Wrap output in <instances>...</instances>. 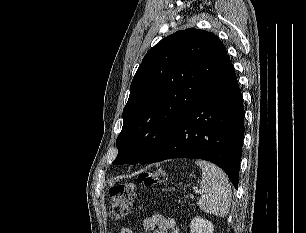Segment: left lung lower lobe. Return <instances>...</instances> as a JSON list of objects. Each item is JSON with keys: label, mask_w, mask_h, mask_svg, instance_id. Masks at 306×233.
<instances>
[{"label": "left lung lower lobe", "mask_w": 306, "mask_h": 233, "mask_svg": "<svg viewBox=\"0 0 306 233\" xmlns=\"http://www.w3.org/2000/svg\"><path fill=\"white\" fill-rule=\"evenodd\" d=\"M244 138L242 94L228 58L147 164L170 158H199L221 167L239 183Z\"/></svg>", "instance_id": "0a47b994"}]
</instances>
